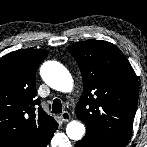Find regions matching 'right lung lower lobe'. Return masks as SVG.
Wrapping results in <instances>:
<instances>
[{
  "label": "right lung lower lobe",
  "instance_id": "right-lung-lower-lobe-1",
  "mask_svg": "<svg viewBox=\"0 0 147 147\" xmlns=\"http://www.w3.org/2000/svg\"><path fill=\"white\" fill-rule=\"evenodd\" d=\"M57 129V128H56ZM56 129H55V131H56ZM54 131V132H55ZM53 132V133H54ZM53 133L51 134V136L49 137V138H47L42 144H40L38 147H46L48 144H49V142H50V140H51V138H52V136H53Z\"/></svg>",
  "mask_w": 147,
  "mask_h": 147
}]
</instances>
